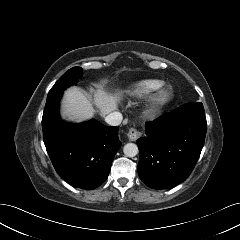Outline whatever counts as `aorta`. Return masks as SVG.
<instances>
[{"label": "aorta", "instance_id": "aorta-1", "mask_svg": "<svg viewBox=\"0 0 240 240\" xmlns=\"http://www.w3.org/2000/svg\"><path fill=\"white\" fill-rule=\"evenodd\" d=\"M123 152L127 157H135L138 154V147L134 143H127L123 148Z\"/></svg>", "mask_w": 240, "mask_h": 240}]
</instances>
